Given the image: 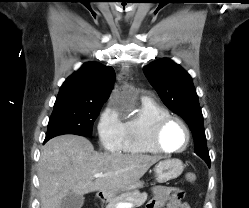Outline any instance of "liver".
Here are the masks:
<instances>
[{"mask_svg":"<svg viewBox=\"0 0 249 208\" xmlns=\"http://www.w3.org/2000/svg\"><path fill=\"white\" fill-rule=\"evenodd\" d=\"M161 157L98 153L82 136L61 135L42 148L38 163L41 208H60L69 193L124 191ZM94 174H109L95 178Z\"/></svg>","mask_w":249,"mask_h":208,"instance_id":"obj_1","label":"liver"}]
</instances>
